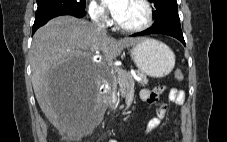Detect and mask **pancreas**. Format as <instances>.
<instances>
[{"mask_svg":"<svg viewBox=\"0 0 227 142\" xmlns=\"http://www.w3.org/2000/svg\"><path fill=\"white\" fill-rule=\"evenodd\" d=\"M118 69L117 71H119ZM136 75L140 77L139 84L141 86H144L148 83V79L145 73L142 71H135ZM116 84H118V91L120 92V95L122 98H125L127 96V92L132 84H134V78L130 72L120 70V74H118L116 79Z\"/></svg>","mask_w":227,"mask_h":142,"instance_id":"obj_1","label":"pancreas"}]
</instances>
